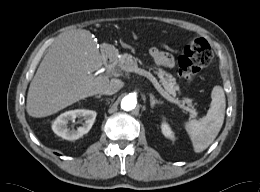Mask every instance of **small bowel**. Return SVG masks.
Listing matches in <instances>:
<instances>
[{"label": "small bowel", "instance_id": "small-bowel-1", "mask_svg": "<svg viewBox=\"0 0 260 192\" xmlns=\"http://www.w3.org/2000/svg\"><path fill=\"white\" fill-rule=\"evenodd\" d=\"M150 55L158 66L172 68L175 64L174 57L170 53L156 47L150 49Z\"/></svg>", "mask_w": 260, "mask_h": 192}]
</instances>
